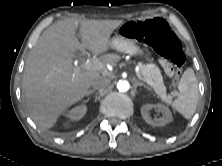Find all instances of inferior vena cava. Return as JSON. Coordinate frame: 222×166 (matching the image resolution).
Segmentation results:
<instances>
[{"instance_id": "1", "label": "inferior vena cava", "mask_w": 222, "mask_h": 166, "mask_svg": "<svg viewBox=\"0 0 222 166\" xmlns=\"http://www.w3.org/2000/svg\"><path fill=\"white\" fill-rule=\"evenodd\" d=\"M110 80L106 77H99L92 82V87L95 90H102L109 86Z\"/></svg>"}]
</instances>
